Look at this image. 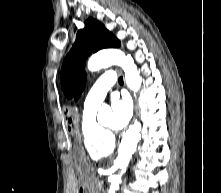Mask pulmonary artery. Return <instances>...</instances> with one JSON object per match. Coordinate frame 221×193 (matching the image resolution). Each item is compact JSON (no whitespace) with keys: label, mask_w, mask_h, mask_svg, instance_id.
Wrapping results in <instances>:
<instances>
[{"label":"pulmonary artery","mask_w":221,"mask_h":193,"mask_svg":"<svg viewBox=\"0 0 221 193\" xmlns=\"http://www.w3.org/2000/svg\"><path fill=\"white\" fill-rule=\"evenodd\" d=\"M115 82H116V75L113 71L110 70L103 73L98 78L95 85L89 91L84 102V109L85 110L97 109L100 103L105 98L108 90Z\"/></svg>","instance_id":"pulmonary-artery-1"}]
</instances>
